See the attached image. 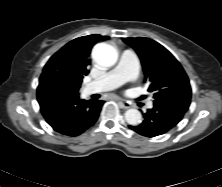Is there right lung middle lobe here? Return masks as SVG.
<instances>
[{
  "label": "right lung middle lobe",
  "mask_w": 222,
  "mask_h": 187,
  "mask_svg": "<svg viewBox=\"0 0 222 187\" xmlns=\"http://www.w3.org/2000/svg\"><path fill=\"white\" fill-rule=\"evenodd\" d=\"M58 76L64 82V84L68 87V89H70L71 91H74V92L79 91L81 82L74 80L73 78H71L68 75L58 74Z\"/></svg>",
  "instance_id": "1"
}]
</instances>
